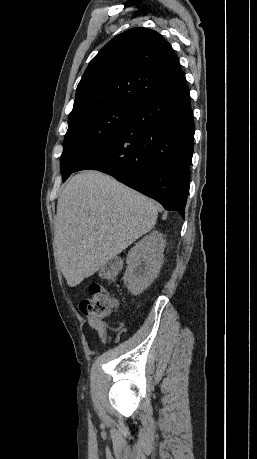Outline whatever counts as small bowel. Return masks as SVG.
<instances>
[{
  "label": "small bowel",
  "instance_id": "c3829d8e",
  "mask_svg": "<svg viewBox=\"0 0 257 459\" xmlns=\"http://www.w3.org/2000/svg\"><path fill=\"white\" fill-rule=\"evenodd\" d=\"M116 304V302H115ZM87 324L95 329L103 343L106 342L107 340V333H106V326L105 323L102 320H97L92 316H88L86 318Z\"/></svg>",
  "mask_w": 257,
  "mask_h": 459
}]
</instances>
